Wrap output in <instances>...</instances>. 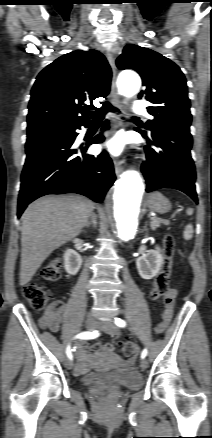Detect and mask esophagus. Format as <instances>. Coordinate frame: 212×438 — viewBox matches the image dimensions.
Returning <instances> with one entry per match:
<instances>
[{
  "mask_svg": "<svg viewBox=\"0 0 212 438\" xmlns=\"http://www.w3.org/2000/svg\"><path fill=\"white\" fill-rule=\"evenodd\" d=\"M106 56H107L108 62L110 64V67L112 69V84H111L112 103L114 106L119 107L120 106V97L117 93V87H116L117 70H116V65H115V59L110 53H107ZM111 116H112L113 121L117 124V122H118L117 116L114 114H112ZM114 168H115L116 175L117 176L120 175V173L122 172V167H121L120 162L118 160H114Z\"/></svg>",
  "mask_w": 212,
  "mask_h": 438,
  "instance_id": "1",
  "label": "esophagus"
}]
</instances>
